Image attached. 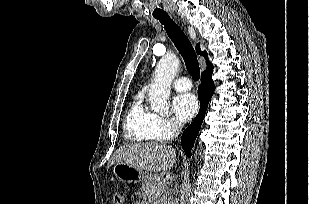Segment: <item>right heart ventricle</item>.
I'll list each match as a JSON object with an SVG mask.
<instances>
[{
	"mask_svg": "<svg viewBox=\"0 0 309 204\" xmlns=\"http://www.w3.org/2000/svg\"><path fill=\"white\" fill-rule=\"evenodd\" d=\"M155 114L144 106L142 98L137 97L129 108L124 122V136L131 141L154 139L151 128Z\"/></svg>",
	"mask_w": 309,
	"mask_h": 204,
	"instance_id": "obj_1",
	"label": "right heart ventricle"
}]
</instances>
